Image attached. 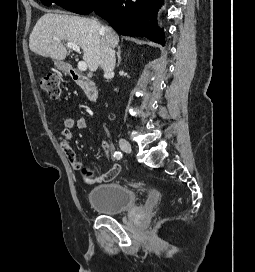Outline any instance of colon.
I'll return each instance as SVG.
<instances>
[{
  "label": "colon",
  "mask_w": 255,
  "mask_h": 272,
  "mask_svg": "<svg viewBox=\"0 0 255 272\" xmlns=\"http://www.w3.org/2000/svg\"><path fill=\"white\" fill-rule=\"evenodd\" d=\"M59 83H60L59 75L56 73L44 74L40 80L41 88L52 99H57L60 95Z\"/></svg>",
  "instance_id": "obj_1"
}]
</instances>
